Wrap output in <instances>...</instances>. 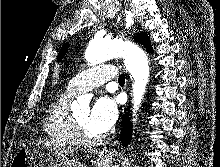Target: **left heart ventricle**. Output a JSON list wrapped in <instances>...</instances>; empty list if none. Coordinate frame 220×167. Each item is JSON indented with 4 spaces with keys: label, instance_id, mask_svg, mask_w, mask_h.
Listing matches in <instances>:
<instances>
[{
    "label": "left heart ventricle",
    "instance_id": "1",
    "mask_svg": "<svg viewBox=\"0 0 220 167\" xmlns=\"http://www.w3.org/2000/svg\"><path fill=\"white\" fill-rule=\"evenodd\" d=\"M76 118L78 119L79 123L81 124L84 132L90 136V137H94V136H98L99 134L96 133L95 131H93L89 124H88V116H89V110L88 108H84L81 110L76 111L75 113Z\"/></svg>",
    "mask_w": 220,
    "mask_h": 167
}]
</instances>
